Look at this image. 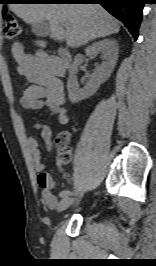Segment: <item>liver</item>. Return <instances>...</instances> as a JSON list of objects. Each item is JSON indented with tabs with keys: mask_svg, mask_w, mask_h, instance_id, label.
<instances>
[{
	"mask_svg": "<svg viewBox=\"0 0 156 266\" xmlns=\"http://www.w3.org/2000/svg\"><path fill=\"white\" fill-rule=\"evenodd\" d=\"M27 24L48 22L50 37L80 47L96 38L118 33V21L98 4H11Z\"/></svg>",
	"mask_w": 156,
	"mask_h": 266,
	"instance_id": "obj_1",
	"label": "liver"
}]
</instances>
